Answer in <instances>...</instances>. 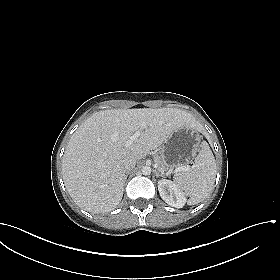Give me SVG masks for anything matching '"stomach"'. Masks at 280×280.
<instances>
[{"instance_id":"obj_1","label":"stomach","mask_w":280,"mask_h":280,"mask_svg":"<svg viewBox=\"0 0 280 280\" xmlns=\"http://www.w3.org/2000/svg\"><path fill=\"white\" fill-rule=\"evenodd\" d=\"M198 129L184 125L175 130L161 145L160 157L167 168L173 169L191 163L200 146Z\"/></svg>"}]
</instances>
